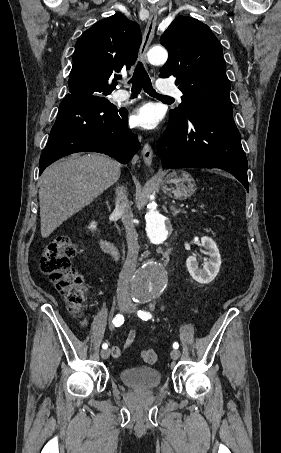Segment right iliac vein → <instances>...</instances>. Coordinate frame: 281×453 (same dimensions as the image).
Returning <instances> with one entry per match:
<instances>
[{"instance_id": "63e3f726", "label": "right iliac vein", "mask_w": 281, "mask_h": 453, "mask_svg": "<svg viewBox=\"0 0 281 453\" xmlns=\"http://www.w3.org/2000/svg\"><path fill=\"white\" fill-rule=\"evenodd\" d=\"M128 304H129V301H118V302H117V307H118L119 309H124L125 307L128 306ZM101 353H102V354H101L102 357H103L104 359H106V358H108L109 355H110V354H109V353H110V349L108 348V350H103Z\"/></svg>"}]
</instances>
